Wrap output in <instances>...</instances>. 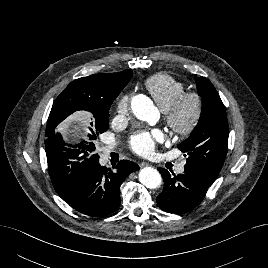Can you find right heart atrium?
Masks as SVG:
<instances>
[{"instance_id": "d8ad5b80", "label": "right heart atrium", "mask_w": 268, "mask_h": 268, "mask_svg": "<svg viewBox=\"0 0 268 268\" xmlns=\"http://www.w3.org/2000/svg\"><path fill=\"white\" fill-rule=\"evenodd\" d=\"M130 96L125 93L122 94L116 102V111L119 115L127 117L129 114Z\"/></svg>"}]
</instances>
